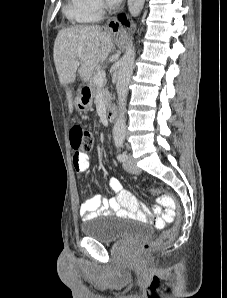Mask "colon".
<instances>
[{
  "label": "colon",
  "instance_id": "1",
  "mask_svg": "<svg viewBox=\"0 0 227 298\" xmlns=\"http://www.w3.org/2000/svg\"><path fill=\"white\" fill-rule=\"evenodd\" d=\"M70 142L75 151L86 150L89 152L93 147V134L88 127L76 124L70 130ZM149 193L159 194V189H150ZM160 202L163 206L165 216L173 223L171 227L164 231L157 239L144 243L139 247V253L142 255L169 245L179 232L182 216L176 209L173 199L168 194H162L160 195ZM151 223L157 227H161L163 225V220L161 218H153Z\"/></svg>",
  "mask_w": 227,
  "mask_h": 298
}]
</instances>
